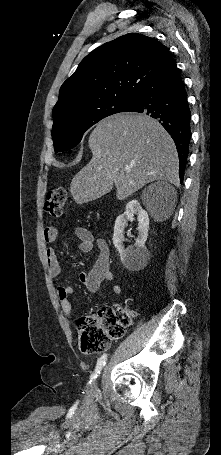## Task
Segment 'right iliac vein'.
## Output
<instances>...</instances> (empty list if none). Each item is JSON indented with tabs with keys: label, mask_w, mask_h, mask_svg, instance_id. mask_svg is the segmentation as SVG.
<instances>
[{
	"label": "right iliac vein",
	"mask_w": 221,
	"mask_h": 455,
	"mask_svg": "<svg viewBox=\"0 0 221 455\" xmlns=\"http://www.w3.org/2000/svg\"><path fill=\"white\" fill-rule=\"evenodd\" d=\"M95 388H96V383L95 382L88 386V396L89 397L93 394Z\"/></svg>",
	"instance_id": "right-iliac-vein-1"
}]
</instances>
